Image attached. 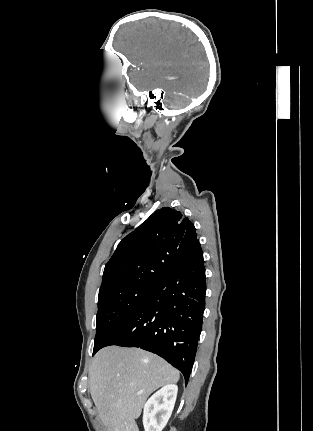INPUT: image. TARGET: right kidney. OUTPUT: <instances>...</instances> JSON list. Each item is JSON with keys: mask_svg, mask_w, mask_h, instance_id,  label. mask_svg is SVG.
<instances>
[{"mask_svg": "<svg viewBox=\"0 0 313 431\" xmlns=\"http://www.w3.org/2000/svg\"><path fill=\"white\" fill-rule=\"evenodd\" d=\"M175 384L163 386L144 405L143 426L145 431H162L166 426L177 397Z\"/></svg>", "mask_w": 313, "mask_h": 431, "instance_id": "right-kidney-1", "label": "right kidney"}]
</instances>
